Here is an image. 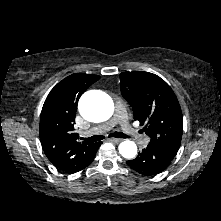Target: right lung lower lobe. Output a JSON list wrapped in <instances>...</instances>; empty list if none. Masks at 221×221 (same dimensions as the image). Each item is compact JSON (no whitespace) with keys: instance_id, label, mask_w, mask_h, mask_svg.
Instances as JSON below:
<instances>
[{"instance_id":"right-lung-lower-lobe-1","label":"right lung lower lobe","mask_w":221,"mask_h":221,"mask_svg":"<svg viewBox=\"0 0 221 221\" xmlns=\"http://www.w3.org/2000/svg\"><path fill=\"white\" fill-rule=\"evenodd\" d=\"M102 144V142H97V143H95V147H94V149H93V152H92V154H91V156L87 159V161L85 162V165H84V167L82 168V169H84L86 166H88L92 161H93V159L95 158V154H96V151H97V149L99 148V146ZM81 169V170H82Z\"/></svg>"}]
</instances>
